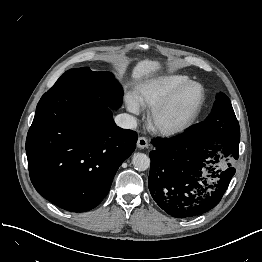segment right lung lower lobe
Segmentation results:
<instances>
[{
  "label": "right lung lower lobe",
  "mask_w": 262,
  "mask_h": 262,
  "mask_svg": "<svg viewBox=\"0 0 262 262\" xmlns=\"http://www.w3.org/2000/svg\"><path fill=\"white\" fill-rule=\"evenodd\" d=\"M138 135L116 126L100 97L80 90L46 92L26 139L31 181L58 207L85 212L108 194Z\"/></svg>",
  "instance_id": "1"
}]
</instances>
